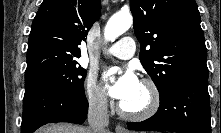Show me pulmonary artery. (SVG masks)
Returning <instances> with one entry per match:
<instances>
[{
  "mask_svg": "<svg viewBox=\"0 0 221 133\" xmlns=\"http://www.w3.org/2000/svg\"><path fill=\"white\" fill-rule=\"evenodd\" d=\"M135 51V42L130 37H124L108 49V53L120 59H129Z\"/></svg>",
  "mask_w": 221,
  "mask_h": 133,
  "instance_id": "1",
  "label": "pulmonary artery"
}]
</instances>
